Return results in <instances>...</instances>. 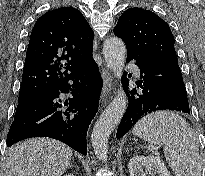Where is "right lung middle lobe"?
<instances>
[{
	"label": "right lung middle lobe",
	"mask_w": 205,
	"mask_h": 176,
	"mask_svg": "<svg viewBox=\"0 0 205 176\" xmlns=\"http://www.w3.org/2000/svg\"><path fill=\"white\" fill-rule=\"evenodd\" d=\"M38 96L30 97V98L18 99L19 103L17 105V109H16V113H15L14 117H16L32 100H34Z\"/></svg>",
	"instance_id": "right-lung-middle-lobe-1"
}]
</instances>
